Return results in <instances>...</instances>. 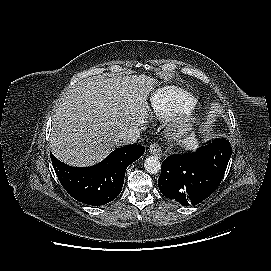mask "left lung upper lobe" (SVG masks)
Masks as SVG:
<instances>
[{
    "label": "left lung upper lobe",
    "mask_w": 271,
    "mask_h": 271,
    "mask_svg": "<svg viewBox=\"0 0 271 271\" xmlns=\"http://www.w3.org/2000/svg\"><path fill=\"white\" fill-rule=\"evenodd\" d=\"M202 152L211 163L226 169L232 154V148L226 139H222L205 145Z\"/></svg>",
    "instance_id": "left-lung-upper-lobe-1"
}]
</instances>
